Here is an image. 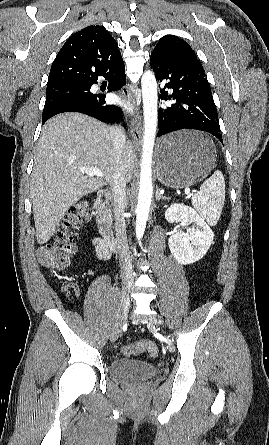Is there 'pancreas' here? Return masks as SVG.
<instances>
[{
    "mask_svg": "<svg viewBox=\"0 0 269 445\" xmlns=\"http://www.w3.org/2000/svg\"><path fill=\"white\" fill-rule=\"evenodd\" d=\"M105 216H106L109 220H112V213H111V210H110V209H108V210L105 211Z\"/></svg>",
    "mask_w": 269,
    "mask_h": 445,
    "instance_id": "1",
    "label": "pancreas"
}]
</instances>
